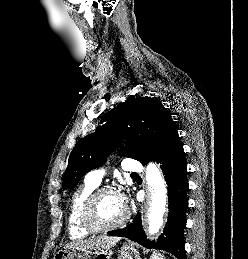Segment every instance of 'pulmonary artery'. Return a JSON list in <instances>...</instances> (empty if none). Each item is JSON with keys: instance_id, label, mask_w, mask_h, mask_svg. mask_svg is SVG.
Listing matches in <instances>:
<instances>
[{"instance_id": "pulmonary-artery-1", "label": "pulmonary artery", "mask_w": 248, "mask_h": 259, "mask_svg": "<svg viewBox=\"0 0 248 259\" xmlns=\"http://www.w3.org/2000/svg\"><path fill=\"white\" fill-rule=\"evenodd\" d=\"M142 165L134 159H125L122 163V170L128 173H139L142 171ZM104 176L103 169H94L87 173L86 180L95 185H99Z\"/></svg>"}]
</instances>
